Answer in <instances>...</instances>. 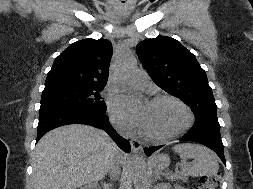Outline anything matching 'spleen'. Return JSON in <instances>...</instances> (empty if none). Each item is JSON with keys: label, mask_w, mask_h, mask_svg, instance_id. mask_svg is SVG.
Instances as JSON below:
<instances>
[{"label": "spleen", "mask_w": 253, "mask_h": 189, "mask_svg": "<svg viewBox=\"0 0 253 189\" xmlns=\"http://www.w3.org/2000/svg\"><path fill=\"white\" fill-rule=\"evenodd\" d=\"M174 152L183 160L194 159L195 164L181 167L180 174L190 176L215 175L219 164L216 154L209 148L192 143L178 144L173 147Z\"/></svg>", "instance_id": "obj_1"}]
</instances>
